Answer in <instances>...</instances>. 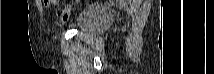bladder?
Listing matches in <instances>:
<instances>
[{"label": "bladder", "instance_id": "bladder-1", "mask_svg": "<svg viewBox=\"0 0 214 74\" xmlns=\"http://www.w3.org/2000/svg\"><path fill=\"white\" fill-rule=\"evenodd\" d=\"M111 18L112 15L106 8L92 4L77 16L75 30L93 35L98 33L102 25Z\"/></svg>", "mask_w": 214, "mask_h": 74}]
</instances>
